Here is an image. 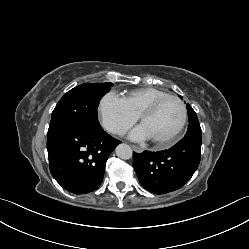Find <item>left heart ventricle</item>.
Segmentation results:
<instances>
[{
    "label": "left heart ventricle",
    "instance_id": "obj_1",
    "mask_svg": "<svg viewBox=\"0 0 249 249\" xmlns=\"http://www.w3.org/2000/svg\"><path fill=\"white\" fill-rule=\"evenodd\" d=\"M182 120V107L176 100H166L141 125L151 140H163L175 132Z\"/></svg>",
    "mask_w": 249,
    "mask_h": 249
}]
</instances>
